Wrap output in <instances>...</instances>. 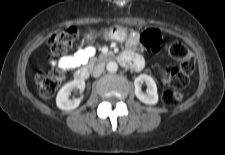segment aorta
Returning a JSON list of instances; mask_svg holds the SVG:
<instances>
[{"label":"aorta","instance_id":"1","mask_svg":"<svg viewBox=\"0 0 225 155\" xmlns=\"http://www.w3.org/2000/svg\"><path fill=\"white\" fill-rule=\"evenodd\" d=\"M106 69L109 72H116L118 70V64L114 61H110L107 63Z\"/></svg>","mask_w":225,"mask_h":155}]
</instances>
